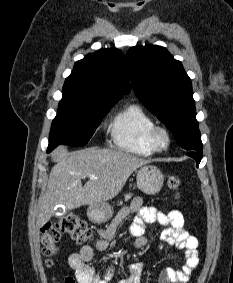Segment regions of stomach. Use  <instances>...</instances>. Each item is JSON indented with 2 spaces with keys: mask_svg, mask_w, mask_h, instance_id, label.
Masks as SVG:
<instances>
[{
  "mask_svg": "<svg viewBox=\"0 0 233 283\" xmlns=\"http://www.w3.org/2000/svg\"><path fill=\"white\" fill-rule=\"evenodd\" d=\"M137 187L147 195H155L163 187L164 175L153 165H144L139 168L136 176ZM113 209L110 205L91 206L88 217L96 223H103L112 217Z\"/></svg>",
  "mask_w": 233,
  "mask_h": 283,
  "instance_id": "0dacf381",
  "label": "stomach"
}]
</instances>
